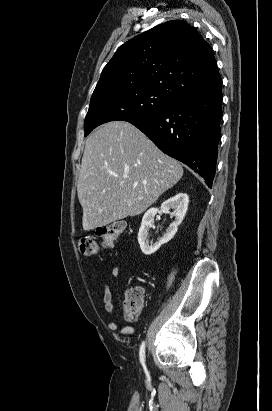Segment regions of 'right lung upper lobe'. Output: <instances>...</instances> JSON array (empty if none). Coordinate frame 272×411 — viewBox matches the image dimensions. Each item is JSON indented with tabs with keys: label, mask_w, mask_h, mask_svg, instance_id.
I'll use <instances>...</instances> for the list:
<instances>
[{
	"label": "right lung upper lobe",
	"mask_w": 272,
	"mask_h": 411,
	"mask_svg": "<svg viewBox=\"0 0 272 411\" xmlns=\"http://www.w3.org/2000/svg\"><path fill=\"white\" fill-rule=\"evenodd\" d=\"M222 82L210 45L188 23L171 20L124 43L94 93L132 87L166 90L177 100Z\"/></svg>",
	"instance_id": "cb5924a9"
}]
</instances>
